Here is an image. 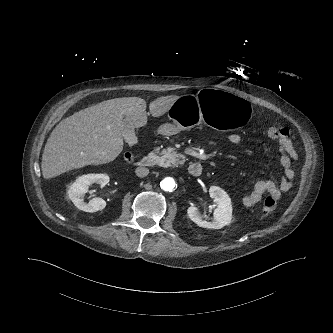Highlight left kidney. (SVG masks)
Returning <instances> with one entry per match:
<instances>
[{
  "label": "left kidney",
  "mask_w": 333,
  "mask_h": 333,
  "mask_svg": "<svg viewBox=\"0 0 333 333\" xmlns=\"http://www.w3.org/2000/svg\"><path fill=\"white\" fill-rule=\"evenodd\" d=\"M210 197L217 204V208L213 212V220H204L198 208L191 206L187 213L189 218L198 226L207 229H220L229 225L232 220V204L229 195L220 187L211 186L209 189Z\"/></svg>",
  "instance_id": "obj_1"
}]
</instances>
